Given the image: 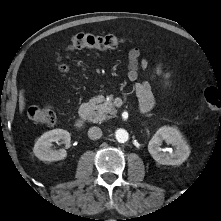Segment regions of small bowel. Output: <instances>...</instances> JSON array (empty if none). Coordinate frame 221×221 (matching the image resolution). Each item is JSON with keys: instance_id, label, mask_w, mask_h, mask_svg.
<instances>
[{"instance_id": "obj_1", "label": "small bowel", "mask_w": 221, "mask_h": 221, "mask_svg": "<svg viewBox=\"0 0 221 221\" xmlns=\"http://www.w3.org/2000/svg\"><path fill=\"white\" fill-rule=\"evenodd\" d=\"M148 62L145 58H141L139 48H132L128 54V79L135 82L138 78L139 70H146ZM153 73L155 76H160L164 79L165 84L169 83L170 73L165 72L161 65H157ZM135 92L139 99L140 110L143 113L150 111L154 105V97L151 88L147 82L135 83Z\"/></svg>"}]
</instances>
